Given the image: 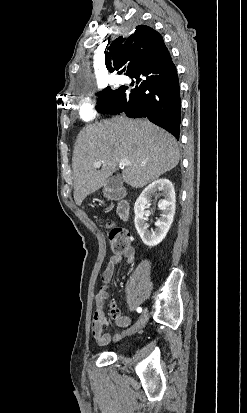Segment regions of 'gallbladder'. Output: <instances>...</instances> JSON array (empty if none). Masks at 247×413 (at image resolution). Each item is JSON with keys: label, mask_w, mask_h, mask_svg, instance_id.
I'll list each match as a JSON object with an SVG mask.
<instances>
[{"label": "gallbladder", "mask_w": 247, "mask_h": 413, "mask_svg": "<svg viewBox=\"0 0 247 413\" xmlns=\"http://www.w3.org/2000/svg\"><path fill=\"white\" fill-rule=\"evenodd\" d=\"M121 178L120 176H111V178H108L105 182L106 188H117V186H120Z\"/></svg>", "instance_id": "bac80fb5"}]
</instances>
